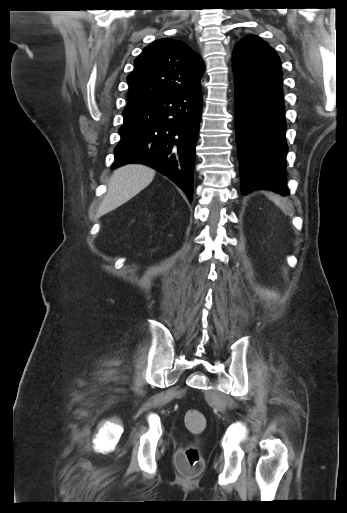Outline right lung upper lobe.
<instances>
[{"label": "right lung upper lobe", "instance_id": "cb5924a9", "mask_svg": "<svg viewBox=\"0 0 347 513\" xmlns=\"http://www.w3.org/2000/svg\"><path fill=\"white\" fill-rule=\"evenodd\" d=\"M127 77L128 107L201 90L204 61L184 42L159 39L145 47Z\"/></svg>", "mask_w": 347, "mask_h": 513}]
</instances>
